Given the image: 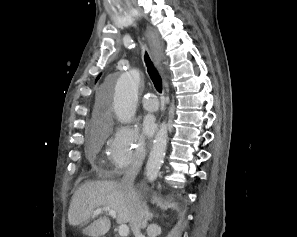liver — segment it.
Returning <instances> with one entry per match:
<instances>
[{
    "instance_id": "obj_1",
    "label": "liver",
    "mask_w": 297,
    "mask_h": 237,
    "mask_svg": "<svg viewBox=\"0 0 297 237\" xmlns=\"http://www.w3.org/2000/svg\"><path fill=\"white\" fill-rule=\"evenodd\" d=\"M102 207H109L117 215L118 224L130 223L129 202L119 183L112 181L86 182L72 197L68 211L70 225L77 226L89 220L92 213ZM110 220L101 217L83 229V234L100 237L110 230Z\"/></svg>"
}]
</instances>
